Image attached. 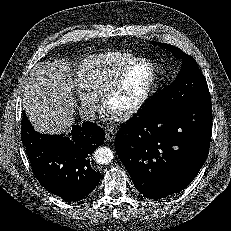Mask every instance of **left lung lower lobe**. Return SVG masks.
Listing matches in <instances>:
<instances>
[{"label": "left lung lower lobe", "mask_w": 231, "mask_h": 231, "mask_svg": "<svg viewBox=\"0 0 231 231\" xmlns=\"http://www.w3.org/2000/svg\"><path fill=\"white\" fill-rule=\"evenodd\" d=\"M210 100L190 102L156 117L137 115L115 137L118 157L137 190L161 199L185 189L209 153Z\"/></svg>", "instance_id": "1"}]
</instances>
